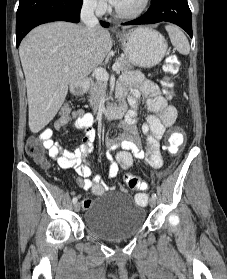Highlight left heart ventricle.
Listing matches in <instances>:
<instances>
[{"label": "left heart ventricle", "instance_id": "1", "mask_svg": "<svg viewBox=\"0 0 227 279\" xmlns=\"http://www.w3.org/2000/svg\"><path fill=\"white\" fill-rule=\"evenodd\" d=\"M142 4V0H119L115 5L123 12L136 11Z\"/></svg>", "mask_w": 227, "mask_h": 279}]
</instances>
